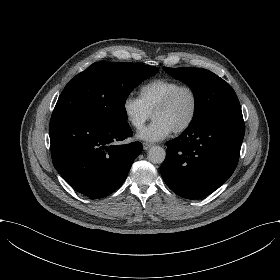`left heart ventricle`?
Returning <instances> with one entry per match:
<instances>
[{"mask_svg": "<svg viewBox=\"0 0 280 280\" xmlns=\"http://www.w3.org/2000/svg\"><path fill=\"white\" fill-rule=\"evenodd\" d=\"M194 108V97L189 90L181 92L173 104L153 115L169 123L174 129L184 124L191 116Z\"/></svg>", "mask_w": 280, "mask_h": 280, "instance_id": "1", "label": "left heart ventricle"}]
</instances>
